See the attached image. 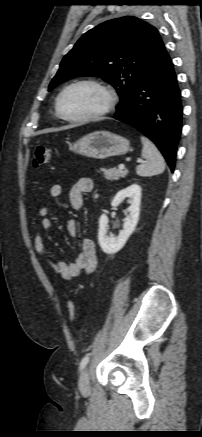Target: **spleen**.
<instances>
[{"label":"spleen","instance_id":"1","mask_svg":"<svg viewBox=\"0 0 202 437\" xmlns=\"http://www.w3.org/2000/svg\"><path fill=\"white\" fill-rule=\"evenodd\" d=\"M141 142L143 144L142 156L146 161L137 166V175L149 177L164 172L165 162L157 147L145 136H141Z\"/></svg>","mask_w":202,"mask_h":437}]
</instances>
